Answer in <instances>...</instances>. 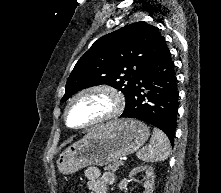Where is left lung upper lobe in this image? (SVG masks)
<instances>
[{"mask_svg": "<svg viewBox=\"0 0 221 193\" xmlns=\"http://www.w3.org/2000/svg\"><path fill=\"white\" fill-rule=\"evenodd\" d=\"M165 47L158 28L144 21L102 36L76 63L61 102L83 88L101 84L120 90L127 100L137 76Z\"/></svg>", "mask_w": 221, "mask_h": 193, "instance_id": "obj_1", "label": "left lung upper lobe"}]
</instances>
